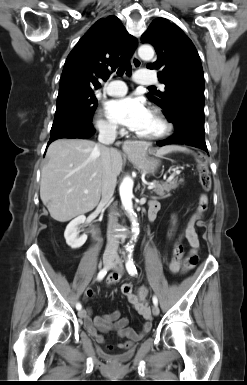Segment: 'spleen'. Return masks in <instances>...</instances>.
Masks as SVG:
<instances>
[{
	"label": "spleen",
	"mask_w": 247,
	"mask_h": 385,
	"mask_svg": "<svg viewBox=\"0 0 247 385\" xmlns=\"http://www.w3.org/2000/svg\"><path fill=\"white\" fill-rule=\"evenodd\" d=\"M191 152L188 148L184 146H179V145H166L161 148H159L156 152L157 156H163L165 154L171 153V152Z\"/></svg>",
	"instance_id": "spleen-1"
}]
</instances>
